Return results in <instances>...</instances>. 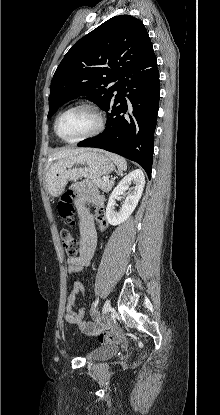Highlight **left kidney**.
I'll return each instance as SVG.
<instances>
[{
    "label": "left kidney",
    "instance_id": "obj_1",
    "mask_svg": "<svg viewBox=\"0 0 220 415\" xmlns=\"http://www.w3.org/2000/svg\"><path fill=\"white\" fill-rule=\"evenodd\" d=\"M131 183L135 184L133 191L129 189ZM144 185L145 176L141 169L133 170L119 182L111 193L106 207V217L111 225H119L129 218L142 196ZM127 190L129 192L124 205L120 208V211H115L116 198Z\"/></svg>",
    "mask_w": 220,
    "mask_h": 415
}]
</instances>
